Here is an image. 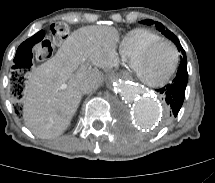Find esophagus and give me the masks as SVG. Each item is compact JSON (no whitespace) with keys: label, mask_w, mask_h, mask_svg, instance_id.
I'll return each instance as SVG.
<instances>
[{"label":"esophagus","mask_w":215,"mask_h":183,"mask_svg":"<svg viewBox=\"0 0 215 183\" xmlns=\"http://www.w3.org/2000/svg\"><path fill=\"white\" fill-rule=\"evenodd\" d=\"M125 76H128V73H124Z\"/></svg>","instance_id":"1"}]
</instances>
